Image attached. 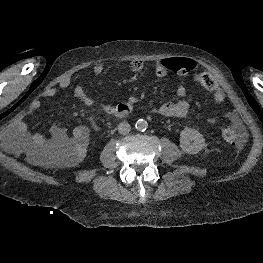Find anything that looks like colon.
<instances>
[{"mask_svg": "<svg viewBox=\"0 0 263 263\" xmlns=\"http://www.w3.org/2000/svg\"><path fill=\"white\" fill-rule=\"evenodd\" d=\"M170 70L178 76H187L195 67V64L188 58L173 57L167 62ZM195 82L208 89L214 99L221 104H227V98L222 88L217 84L210 74L200 73L195 76ZM233 107L228 105L225 115L230 117L233 114ZM225 141L236 148L243 146L245 132L240 126L228 127L224 130ZM86 137L81 133L72 134L68 141L50 153V156L58 161L72 162L81 157L85 147Z\"/></svg>", "mask_w": 263, "mask_h": 263, "instance_id": "colon-1", "label": "colon"}]
</instances>
